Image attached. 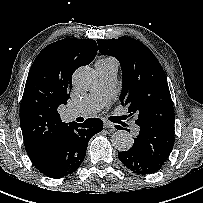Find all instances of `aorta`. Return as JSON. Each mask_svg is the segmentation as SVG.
I'll return each mask as SVG.
<instances>
[{"label": "aorta", "mask_w": 203, "mask_h": 203, "mask_svg": "<svg viewBox=\"0 0 203 203\" xmlns=\"http://www.w3.org/2000/svg\"><path fill=\"white\" fill-rule=\"evenodd\" d=\"M73 85L79 91H89L97 83L96 72L87 66L78 68L72 77ZM112 145L119 151H127L133 145V138L125 130L116 131L111 137Z\"/></svg>", "instance_id": "obj_1"}]
</instances>
